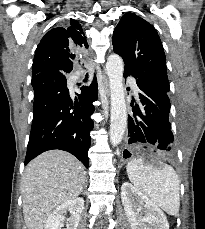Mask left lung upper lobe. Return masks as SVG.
I'll list each match as a JSON object with an SVG mask.
<instances>
[{
  "mask_svg": "<svg viewBox=\"0 0 205 229\" xmlns=\"http://www.w3.org/2000/svg\"><path fill=\"white\" fill-rule=\"evenodd\" d=\"M113 49L125 63V72L169 92L166 58L155 28L133 14L122 16L113 33Z\"/></svg>",
  "mask_w": 205,
  "mask_h": 229,
  "instance_id": "5c2ea615",
  "label": "left lung upper lobe"
}]
</instances>
